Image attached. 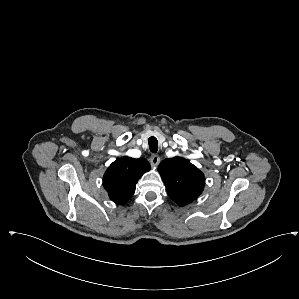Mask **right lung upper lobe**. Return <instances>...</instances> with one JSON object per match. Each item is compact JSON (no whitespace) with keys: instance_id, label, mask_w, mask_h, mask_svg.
<instances>
[{"instance_id":"cb5924a9","label":"right lung upper lobe","mask_w":299,"mask_h":299,"mask_svg":"<svg viewBox=\"0 0 299 299\" xmlns=\"http://www.w3.org/2000/svg\"><path fill=\"white\" fill-rule=\"evenodd\" d=\"M149 170L150 164L146 159L124 156L108 167L103 186L113 202L123 204L133 196L139 178Z\"/></svg>"}]
</instances>
